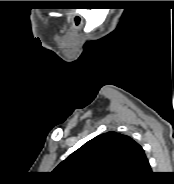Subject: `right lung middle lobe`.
I'll list each match as a JSON object with an SVG mask.
<instances>
[{
	"mask_svg": "<svg viewBox=\"0 0 174 184\" xmlns=\"http://www.w3.org/2000/svg\"><path fill=\"white\" fill-rule=\"evenodd\" d=\"M122 182H120V183H115V184H121Z\"/></svg>",
	"mask_w": 174,
	"mask_h": 184,
	"instance_id": "obj_1",
	"label": "right lung middle lobe"
}]
</instances>
